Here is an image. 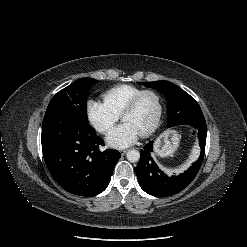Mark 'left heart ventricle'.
<instances>
[{
	"instance_id": "obj_1",
	"label": "left heart ventricle",
	"mask_w": 247,
	"mask_h": 247,
	"mask_svg": "<svg viewBox=\"0 0 247 247\" xmlns=\"http://www.w3.org/2000/svg\"><path fill=\"white\" fill-rule=\"evenodd\" d=\"M158 113V103L156 98L151 95H145L135 110L127 113L123 117L124 122L132 124L141 134L154 123Z\"/></svg>"
}]
</instances>
